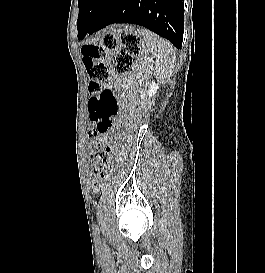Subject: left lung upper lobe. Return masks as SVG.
<instances>
[{
  "instance_id": "1",
  "label": "left lung upper lobe",
  "mask_w": 265,
  "mask_h": 273,
  "mask_svg": "<svg viewBox=\"0 0 265 273\" xmlns=\"http://www.w3.org/2000/svg\"><path fill=\"white\" fill-rule=\"evenodd\" d=\"M105 0H78L79 7V15L77 20L78 31L80 29V25L82 24V20L85 15H87L93 8L100 5ZM119 0L116 1V3Z\"/></svg>"
}]
</instances>
